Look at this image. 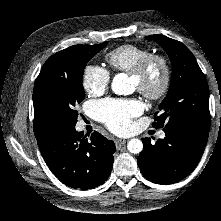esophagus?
Here are the masks:
<instances>
[{"instance_id": "1", "label": "esophagus", "mask_w": 221, "mask_h": 221, "mask_svg": "<svg viewBox=\"0 0 221 221\" xmlns=\"http://www.w3.org/2000/svg\"><path fill=\"white\" fill-rule=\"evenodd\" d=\"M126 143V140H122V139H117L115 140V146L116 148H120L121 146H123Z\"/></svg>"}]
</instances>
